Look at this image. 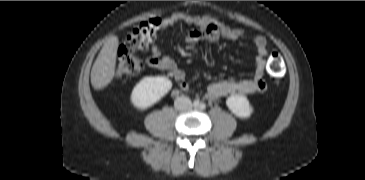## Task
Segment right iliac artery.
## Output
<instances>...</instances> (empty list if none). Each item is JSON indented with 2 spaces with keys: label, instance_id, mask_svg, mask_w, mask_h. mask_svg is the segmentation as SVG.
<instances>
[{
  "label": "right iliac artery",
  "instance_id": "1",
  "mask_svg": "<svg viewBox=\"0 0 365 180\" xmlns=\"http://www.w3.org/2000/svg\"><path fill=\"white\" fill-rule=\"evenodd\" d=\"M193 105H194L195 107L199 106V101H198V100H195V101L193 102Z\"/></svg>",
  "mask_w": 365,
  "mask_h": 180
}]
</instances>
